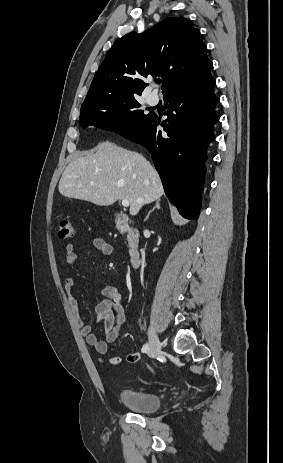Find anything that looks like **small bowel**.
<instances>
[{
  "label": "small bowel",
  "instance_id": "obj_1",
  "mask_svg": "<svg viewBox=\"0 0 283 463\" xmlns=\"http://www.w3.org/2000/svg\"><path fill=\"white\" fill-rule=\"evenodd\" d=\"M93 246L98 249L104 255H110L113 251V247L110 243L101 237L92 238ZM66 262L70 266H74L78 261V254L76 253L72 244L66 245ZM75 286V279L69 276L65 280V290L68 294V300L70 308L76 318V321L80 327L81 333L86 339V342L93 346L99 354H106L109 351V346L113 344L120 335L122 325L124 324L125 317L123 307L121 304L122 293L113 286H107L103 288L102 295L104 300L94 307L96 313V322H103L105 336L103 340L93 332V327L86 323L80 316V303L74 296L73 290ZM139 353L137 351H130L127 354V361L134 363L139 360ZM121 356L112 353L108 359L110 365H118L121 363Z\"/></svg>",
  "mask_w": 283,
  "mask_h": 463
}]
</instances>
